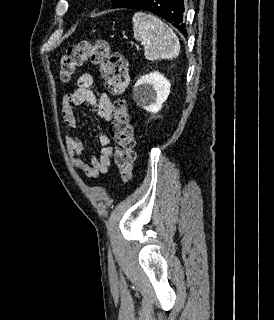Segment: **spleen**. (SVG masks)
I'll list each match as a JSON object with an SVG mask.
<instances>
[{
  "label": "spleen",
  "mask_w": 274,
  "mask_h": 320,
  "mask_svg": "<svg viewBox=\"0 0 274 320\" xmlns=\"http://www.w3.org/2000/svg\"><path fill=\"white\" fill-rule=\"evenodd\" d=\"M135 40L142 42L147 60H173L180 52L179 40L162 20L136 12L132 18Z\"/></svg>",
  "instance_id": "3e777b00"
}]
</instances>
